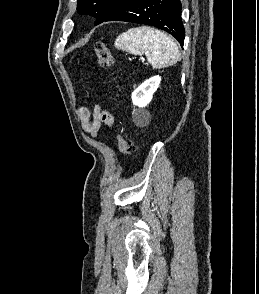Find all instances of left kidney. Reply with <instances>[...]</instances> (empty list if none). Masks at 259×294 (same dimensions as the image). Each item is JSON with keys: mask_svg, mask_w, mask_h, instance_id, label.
I'll list each match as a JSON object with an SVG mask.
<instances>
[{"mask_svg": "<svg viewBox=\"0 0 259 294\" xmlns=\"http://www.w3.org/2000/svg\"><path fill=\"white\" fill-rule=\"evenodd\" d=\"M160 82L161 77L157 75L147 79L144 83H142L132 93L133 105L139 107L140 109L145 108L152 100L153 94L159 87ZM138 114V111H134L133 115L135 119L137 118Z\"/></svg>", "mask_w": 259, "mask_h": 294, "instance_id": "left-kidney-1", "label": "left kidney"}]
</instances>
